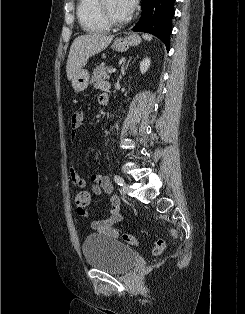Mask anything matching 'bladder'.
Instances as JSON below:
<instances>
[{"label": "bladder", "mask_w": 245, "mask_h": 314, "mask_svg": "<svg viewBox=\"0 0 245 314\" xmlns=\"http://www.w3.org/2000/svg\"><path fill=\"white\" fill-rule=\"evenodd\" d=\"M86 263L109 273L125 272L137 259V253L117 239L89 234L82 244Z\"/></svg>", "instance_id": "bladder-1"}]
</instances>
